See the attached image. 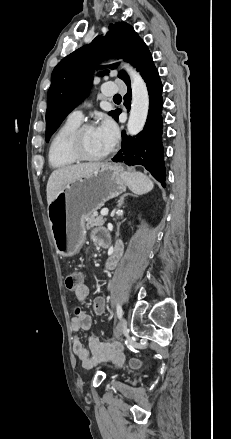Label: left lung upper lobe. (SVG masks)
Listing matches in <instances>:
<instances>
[{"mask_svg": "<svg viewBox=\"0 0 231 439\" xmlns=\"http://www.w3.org/2000/svg\"><path fill=\"white\" fill-rule=\"evenodd\" d=\"M147 49L134 29L127 23L109 26L105 36H97L89 45L81 47L63 58L54 68L47 95L46 141L57 130L65 117L86 97L93 80L92 71L101 59L123 58L135 66L141 53ZM112 69L115 65L111 66ZM109 73L105 70L99 75ZM123 81L128 75L121 71ZM118 110L109 114L116 118Z\"/></svg>", "mask_w": 231, "mask_h": 439, "instance_id": "left-lung-upper-lobe-1", "label": "left lung upper lobe"}]
</instances>
